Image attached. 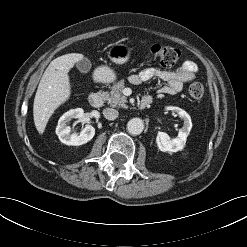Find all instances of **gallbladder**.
Instances as JSON below:
<instances>
[{
	"instance_id": "gallbladder-1",
	"label": "gallbladder",
	"mask_w": 247,
	"mask_h": 247,
	"mask_svg": "<svg viewBox=\"0 0 247 247\" xmlns=\"http://www.w3.org/2000/svg\"><path fill=\"white\" fill-rule=\"evenodd\" d=\"M76 67L81 73H87L91 68V62L88 58H83L77 62Z\"/></svg>"
}]
</instances>
